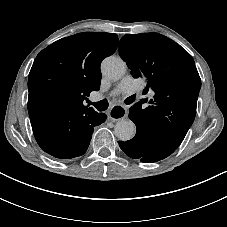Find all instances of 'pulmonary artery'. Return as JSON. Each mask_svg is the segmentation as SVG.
I'll use <instances>...</instances> for the list:
<instances>
[{
    "label": "pulmonary artery",
    "instance_id": "1",
    "mask_svg": "<svg viewBox=\"0 0 227 227\" xmlns=\"http://www.w3.org/2000/svg\"><path fill=\"white\" fill-rule=\"evenodd\" d=\"M136 87L137 80H135L130 75H127L120 81L117 88L111 93V95H117L120 93H131L136 89Z\"/></svg>",
    "mask_w": 227,
    "mask_h": 227
}]
</instances>
